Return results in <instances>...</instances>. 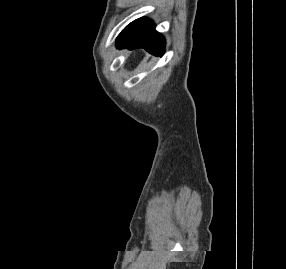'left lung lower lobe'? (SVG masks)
I'll use <instances>...</instances> for the list:
<instances>
[{
	"instance_id": "0a47b994",
	"label": "left lung lower lobe",
	"mask_w": 286,
	"mask_h": 269,
	"mask_svg": "<svg viewBox=\"0 0 286 269\" xmlns=\"http://www.w3.org/2000/svg\"><path fill=\"white\" fill-rule=\"evenodd\" d=\"M116 45L122 48H145L156 56H162L165 49V40L160 33L155 31L154 24L140 18L127 25L117 37Z\"/></svg>"
}]
</instances>
